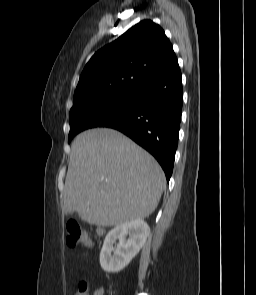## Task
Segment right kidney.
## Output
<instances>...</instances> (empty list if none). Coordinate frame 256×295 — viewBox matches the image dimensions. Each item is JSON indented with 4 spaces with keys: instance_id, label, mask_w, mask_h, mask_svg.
<instances>
[{
    "instance_id": "right-kidney-1",
    "label": "right kidney",
    "mask_w": 256,
    "mask_h": 295,
    "mask_svg": "<svg viewBox=\"0 0 256 295\" xmlns=\"http://www.w3.org/2000/svg\"><path fill=\"white\" fill-rule=\"evenodd\" d=\"M149 234L148 224L141 219L125 222L110 230L100 252L102 269L108 273L123 270L140 251ZM117 239L119 243L114 246Z\"/></svg>"
}]
</instances>
